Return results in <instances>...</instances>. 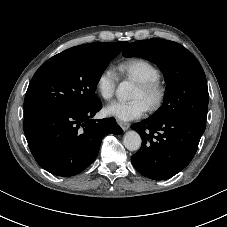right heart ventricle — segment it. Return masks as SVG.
Instances as JSON below:
<instances>
[{
    "instance_id": "e07e8e85",
    "label": "right heart ventricle",
    "mask_w": 227,
    "mask_h": 227,
    "mask_svg": "<svg viewBox=\"0 0 227 227\" xmlns=\"http://www.w3.org/2000/svg\"><path fill=\"white\" fill-rule=\"evenodd\" d=\"M120 74L136 82H145L158 79L159 69L144 58H129L118 64Z\"/></svg>"
}]
</instances>
